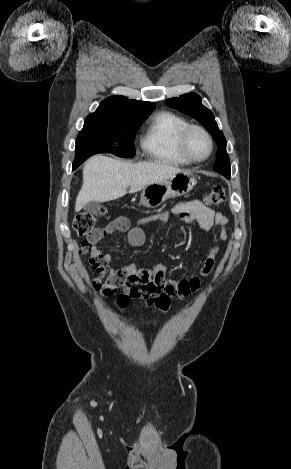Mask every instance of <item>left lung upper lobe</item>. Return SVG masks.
I'll return each mask as SVG.
<instances>
[{"label":"left lung upper lobe","mask_w":291,"mask_h":469,"mask_svg":"<svg viewBox=\"0 0 291 469\" xmlns=\"http://www.w3.org/2000/svg\"><path fill=\"white\" fill-rule=\"evenodd\" d=\"M166 103L198 120L213 136L218 147L214 170L229 179L231 172L230 160L226 152V139L219 129L213 113L202 104L200 96L196 93H187L179 98L167 99Z\"/></svg>","instance_id":"1"}]
</instances>
